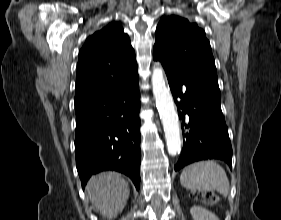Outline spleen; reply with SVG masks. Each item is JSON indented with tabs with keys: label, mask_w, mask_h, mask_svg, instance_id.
I'll return each mask as SVG.
<instances>
[{
	"label": "spleen",
	"mask_w": 281,
	"mask_h": 220,
	"mask_svg": "<svg viewBox=\"0 0 281 220\" xmlns=\"http://www.w3.org/2000/svg\"><path fill=\"white\" fill-rule=\"evenodd\" d=\"M180 183L189 190H217L223 196L229 195L230 192L225 170L212 160L186 166L180 175Z\"/></svg>",
	"instance_id": "3e777b00"
}]
</instances>
